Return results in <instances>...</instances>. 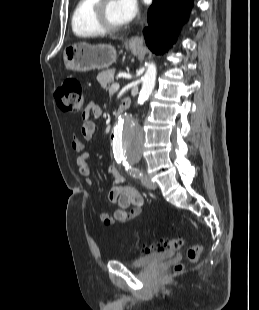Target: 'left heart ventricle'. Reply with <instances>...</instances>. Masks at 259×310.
<instances>
[{
    "mask_svg": "<svg viewBox=\"0 0 259 310\" xmlns=\"http://www.w3.org/2000/svg\"><path fill=\"white\" fill-rule=\"evenodd\" d=\"M105 16L107 22L111 25L120 26L124 24L119 12L117 0H109L106 6Z\"/></svg>",
    "mask_w": 259,
    "mask_h": 310,
    "instance_id": "obj_1",
    "label": "left heart ventricle"
}]
</instances>
